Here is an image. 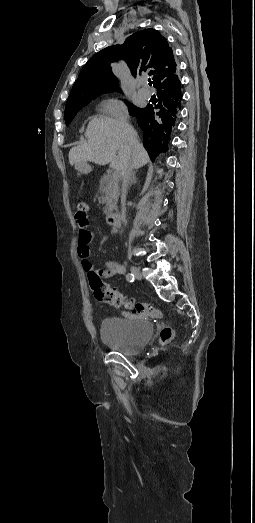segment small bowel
Returning a JSON list of instances; mask_svg holds the SVG:
<instances>
[{"mask_svg": "<svg viewBox=\"0 0 255 523\" xmlns=\"http://www.w3.org/2000/svg\"><path fill=\"white\" fill-rule=\"evenodd\" d=\"M93 239V233L90 231L88 224L81 226L79 225V238L77 255L81 261L83 269L88 272H96L104 278H110L117 274H124L125 267L116 261H106L105 268L95 271L92 263L89 259L90 256V243Z\"/></svg>", "mask_w": 255, "mask_h": 523, "instance_id": "small-bowel-1", "label": "small bowel"}]
</instances>
